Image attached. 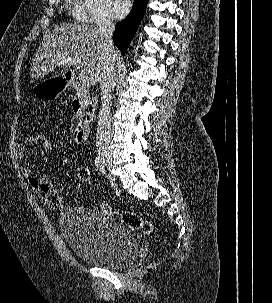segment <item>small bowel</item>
<instances>
[{"label": "small bowel", "instance_id": "1", "mask_svg": "<svg viewBox=\"0 0 272 303\" xmlns=\"http://www.w3.org/2000/svg\"><path fill=\"white\" fill-rule=\"evenodd\" d=\"M75 139V138H74ZM36 136H28L23 143L16 147V156L23 159L26 156L29 148L35 147ZM76 141V140H75ZM77 142V141H76ZM22 174L26 177L33 188L40 196H44L52 191H55L56 177L46 172L33 173L28 166L22 167Z\"/></svg>", "mask_w": 272, "mask_h": 303}]
</instances>
